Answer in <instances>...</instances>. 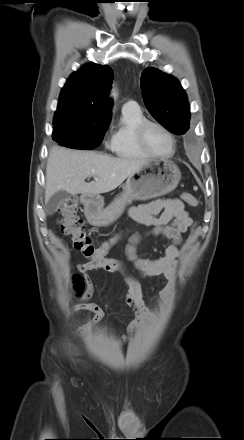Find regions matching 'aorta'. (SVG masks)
Instances as JSON below:
<instances>
[{"label":"aorta","mask_w":244,"mask_h":440,"mask_svg":"<svg viewBox=\"0 0 244 440\" xmlns=\"http://www.w3.org/2000/svg\"><path fill=\"white\" fill-rule=\"evenodd\" d=\"M111 97H113L114 99L117 97V93H116V91L112 90V92H111Z\"/></svg>","instance_id":"aorta-1"}]
</instances>
